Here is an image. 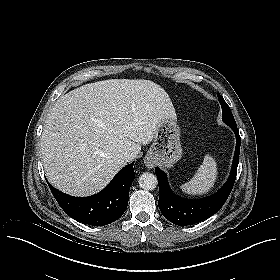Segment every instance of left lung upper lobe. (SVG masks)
<instances>
[{
    "mask_svg": "<svg viewBox=\"0 0 280 280\" xmlns=\"http://www.w3.org/2000/svg\"><path fill=\"white\" fill-rule=\"evenodd\" d=\"M218 99L222 107L223 121L229 126H237L233 114L230 110V107L228 106V104L225 102V100L220 94H218Z\"/></svg>",
    "mask_w": 280,
    "mask_h": 280,
    "instance_id": "1",
    "label": "left lung upper lobe"
}]
</instances>
